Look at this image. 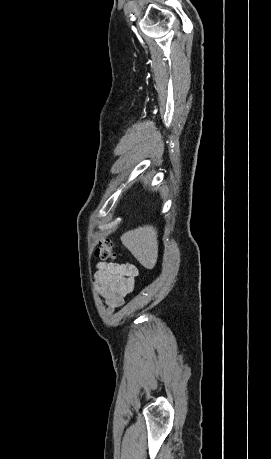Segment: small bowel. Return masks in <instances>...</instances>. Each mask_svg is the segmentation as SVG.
Instances as JSON below:
<instances>
[{
    "instance_id": "1",
    "label": "small bowel",
    "mask_w": 271,
    "mask_h": 459,
    "mask_svg": "<svg viewBox=\"0 0 271 459\" xmlns=\"http://www.w3.org/2000/svg\"><path fill=\"white\" fill-rule=\"evenodd\" d=\"M137 269L129 264L100 263L94 275L96 291L107 303L109 312L122 306L135 287Z\"/></svg>"
}]
</instances>
